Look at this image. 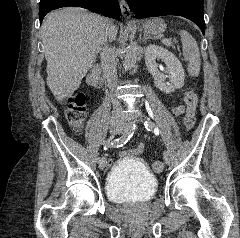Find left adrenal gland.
Returning a JSON list of instances; mask_svg holds the SVG:
<instances>
[{
    "mask_svg": "<svg viewBox=\"0 0 240 238\" xmlns=\"http://www.w3.org/2000/svg\"><path fill=\"white\" fill-rule=\"evenodd\" d=\"M147 39H153V38L150 35L144 33L143 41H146Z\"/></svg>",
    "mask_w": 240,
    "mask_h": 238,
    "instance_id": "a2214340",
    "label": "left adrenal gland"
}]
</instances>
